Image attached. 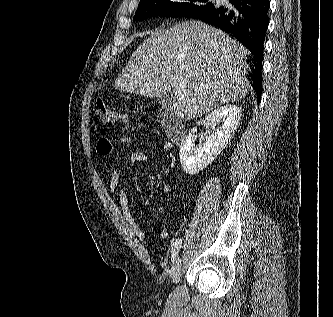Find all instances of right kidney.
<instances>
[{
	"mask_svg": "<svg viewBox=\"0 0 333 317\" xmlns=\"http://www.w3.org/2000/svg\"><path fill=\"white\" fill-rule=\"evenodd\" d=\"M241 108L237 105L218 107L205 118L207 127L212 129L203 146L195 147L197 128H192L180 145L179 157L183 170L195 175L211 164L231 141L241 120ZM223 125L217 127L219 121Z\"/></svg>",
	"mask_w": 333,
	"mask_h": 317,
	"instance_id": "right-kidney-1",
	"label": "right kidney"
}]
</instances>
